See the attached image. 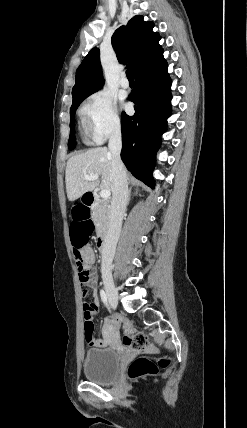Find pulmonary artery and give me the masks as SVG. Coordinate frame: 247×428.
<instances>
[{
    "mask_svg": "<svg viewBox=\"0 0 247 428\" xmlns=\"http://www.w3.org/2000/svg\"><path fill=\"white\" fill-rule=\"evenodd\" d=\"M120 86L122 88H128L129 87V81L127 80V78L125 77V75H123L120 79Z\"/></svg>",
    "mask_w": 247,
    "mask_h": 428,
    "instance_id": "e3ab8cb5",
    "label": "pulmonary artery"
}]
</instances>
